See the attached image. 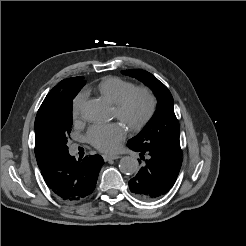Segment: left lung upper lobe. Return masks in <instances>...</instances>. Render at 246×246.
I'll return each mask as SVG.
<instances>
[{
  "instance_id": "1",
  "label": "left lung upper lobe",
  "mask_w": 246,
  "mask_h": 246,
  "mask_svg": "<svg viewBox=\"0 0 246 246\" xmlns=\"http://www.w3.org/2000/svg\"><path fill=\"white\" fill-rule=\"evenodd\" d=\"M150 87L157 98V109L143 130L131 138L127 145L135 150L157 149L182 157L179 140V122L174 113V101L168 88L152 74L141 69L122 71Z\"/></svg>"
}]
</instances>
